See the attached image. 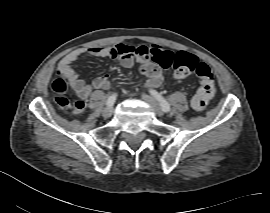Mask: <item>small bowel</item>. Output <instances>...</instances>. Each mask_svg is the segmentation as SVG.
I'll list each match as a JSON object with an SVG mask.
<instances>
[{
    "label": "small bowel",
    "instance_id": "1",
    "mask_svg": "<svg viewBox=\"0 0 270 213\" xmlns=\"http://www.w3.org/2000/svg\"><path fill=\"white\" fill-rule=\"evenodd\" d=\"M153 53L167 54L173 57L176 53L163 46H154ZM87 54L99 59L118 60L123 67L129 68L134 65V56L122 57L116 53L115 47L111 46H94L87 49H78L66 54L58 65L59 78L61 88L65 91L67 86L73 88L79 95L80 101L86 102L94 91L100 88H108L110 79L108 75H102L96 78L91 84H87L73 69V63L82 55ZM140 73L149 77L145 84L146 88L158 87L162 82V66L154 64H142ZM82 110L76 111V113Z\"/></svg>",
    "mask_w": 270,
    "mask_h": 213
}]
</instances>
